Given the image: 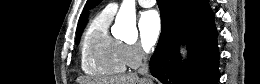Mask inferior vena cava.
<instances>
[{
	"instance_id": "1",
	"label": "inferior vena cava",
	"mask_w": 260,
	"mask_h": 84,
	"mask_svg": "<svg viewBox=\"0 0 260 84\" xmlns=\"http://www.w3.org/2000/svg\"><path fill=\"white\" fill-rule=\"evenodd\" d=\"M142 57H143V63L141 65V67L138 69V73L141 75H145L146 77H148V63H147V54L146 53H142ZM151 81V80H150ZM151 83V82H150Z\"/></svg>"
}]
</instances>
